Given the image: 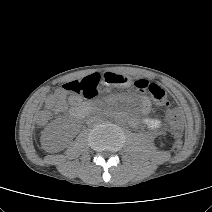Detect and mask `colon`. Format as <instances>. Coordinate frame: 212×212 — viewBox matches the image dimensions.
Masks as SVG:
<instances>
[{"label":"colon","mask_w":212,"mask_h":212,"mask_svg":"<svg viewBox=\"0 0 212 212\" xmlns=\"http://www.w3.org/2000/svg\"><path fill=\"white\" fill-rule=\"evenodd\" d=\"M102 76L94 73L83 77L79 80H73L65 83L62 86L61 93H69L73 96H82L87 99L96 97L99 93V87L102 83ZM137 89L141 91H148L153 100L161 106H169V100L165 90L156 83H151L147 80L140 79L134 82ZM169 119L175 125H178L181 120V112L179 108H172L168 113ZM50 117V113L47 110H43L39 113L37 121L40 125H44Z\"/></svg>","instance_id":"1"}]
</instances>
